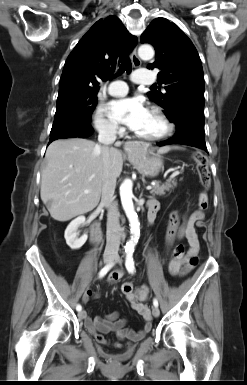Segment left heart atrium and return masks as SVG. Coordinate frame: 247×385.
<instances>
[{
	"instance_id": "1",
	"label": "left heart atrium",
	"mask_w": 247,
	"mask_h": 385,
	"mask_svg": "<svg viewBox=\"0 0 247 385\" xmlns=\"http://www.w3.org/2000/svg\"><path fill=\"white\" fill-rule=\"evenodd\" d=\"M149 111L143 101L136 97H127L112 101L109 105L111 118L136 131L144 123Z\"/></svg>"
}]
</instances>
